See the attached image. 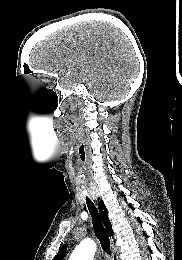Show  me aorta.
Segmentation results:
<instances>
[{"instance_id":"1","label":"aorta","mask_w":182,"mask_h":260,"mask_svg":"<svg viewBox=\"0 0 182 260\" xmlns=\"http://www.w3.org/2000/svg\"><path fill=\"white\" fill-rule=\"evenodd\" d=\"M96 249L97 245L93 240L85 239L74 249L69 260H93Z\"/></svg>"}]
</instances>
